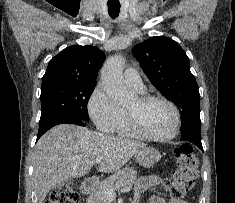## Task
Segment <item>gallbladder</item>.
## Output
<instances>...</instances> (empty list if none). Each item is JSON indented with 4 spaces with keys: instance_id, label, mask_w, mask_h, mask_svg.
I'll use <instances>...</instances> for the list:
<instances>
[{
    "instance_id": "1",
    "label": "gallbladder",
    "mask_w": 235,
    "mask_h": 203,
    "mask_svg": "<svg viewBox=\"0 0 235 203\" xmlns=\"http://www.w3.org/2000/svg\"><path fill=\"white\" fill-rule=\"evenodd\" d=\"M58 184L59 185H67L68 184V181L67 180H59L58 181ZM58 185H56V187H57Z\"/></svg>"
}]
</instances>
